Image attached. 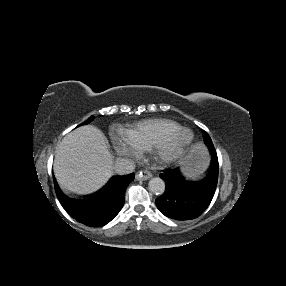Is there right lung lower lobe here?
<instances>
[{"label":"right lung lower lobe","mask_w":286,"mask_h":286,"mask_svg":"<svg viewBox=\"0 0 286 286\" xmlns=\"http://www.w3.org/2000/svg\"><path fill=\"white\" fill-rule=\"evenodd\" d=\"M134 177V173L113 177L105 187L85 199L70 198L59 189L56 182L54 186L61 205L71 217L87 226L101 227L122 209L126 188Z\"/></svg>","instance_id":"obj_1"}]
</instances>
